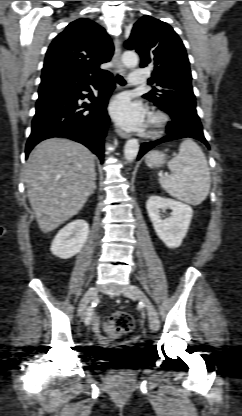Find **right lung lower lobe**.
I'll list each match as a JSON object with an SVG mask.
<instances>
[{
  "label": "right lung lower lobe",
  "instance_id": "obj_1",
  "mask_svg": "<svg viewBox=\"0 0 242 416\" xmlns=\"http://www.w3.org/2000/svg\"><path fill=\"white\" fill-rule=\"evenodd\" d=\"M91 85L99 89L98 97L92 95L91 104H79L77 100L84 98L82 91H91ZM114 87L112 76L107 75L92 84L39 95L26 158L40 141L66 137L82 143L103 161V141L109 122L106 107Z\"/></svg>",
  "mask_w": 242,
  "mask_h": 416
}]
</instances>
